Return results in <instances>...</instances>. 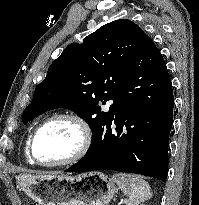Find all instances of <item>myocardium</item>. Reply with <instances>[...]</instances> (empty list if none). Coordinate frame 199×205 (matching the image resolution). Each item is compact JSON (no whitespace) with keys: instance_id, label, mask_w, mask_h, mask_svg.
I'll list each match as a JSON object with an SVG mask.
<instances>
[{"instance_id":"obj_1","label":"myocardium","mask_w":199,"mask_h":205,"mask_svg":"<svg viewBox=\"0 0 199 205\" xmlns=\"http://www.w3.org/2000/svg\"><path fill=\"white\" fill-rule=\"evenodd\" d=\"M67 120L74 123L80 131V141L76 150L67 158L55 161V162H41L39 161L34 153L35 139L37 135L49 124L60 121ZM93 142V131L88 123V121L79 114L73 112H63L50 116L45 121L37 126V128L32 132L28 140V155L30 160L40 166L44 167H57L64 166L74 163L80 160L90 149Z\"/></svg>"}]
</instances>
